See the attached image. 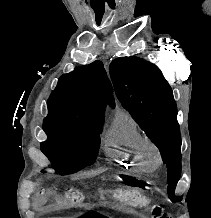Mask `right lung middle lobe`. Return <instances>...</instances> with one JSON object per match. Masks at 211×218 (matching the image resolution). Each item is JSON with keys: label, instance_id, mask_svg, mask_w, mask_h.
I'll use <instances>...</instances> for the list:
<instances>
[{"label": "right lung middle lobe", "instance_id": "dd1d6c3e", "mask_svg": "<svg viewBox=\"0 0 211 218\" xmlns=\"http://www.w3.org/2000/svg\"><path fill=\"white\" fill-rule=\"evenodd\" d=\"M103 123L102 120L90 121L52 115L44 119L43 129L48 136L45 143L71 145L84 151L81 160L58 164V174H71L94 163L100 146L99 134Z\"/></svg>", "mask_w": 211, "mask_h": 218}]
</instances>
